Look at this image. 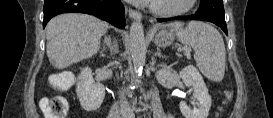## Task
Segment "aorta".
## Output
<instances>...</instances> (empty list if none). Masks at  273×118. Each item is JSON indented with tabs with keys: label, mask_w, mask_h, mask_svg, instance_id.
I'll list each match as a JSON object with an SVG mask.
<instances>
[{
	"label": "aorta",
	"mask_w": 273,
	"mask_h": 118,
	"mask_svg": "<svg viewBox=\"0 0 273 118\" xmlns=\"http://www.w3.org/2000/svg\"><path fill=\"white\" fill-rule=\"evenodd\" d=\"M146 51L143 25L140 20H136L130 26V53L136 75L142 72L145 65Z\"/></svg>",
	"instance_id": "aorta-1"
}]
</instances>
